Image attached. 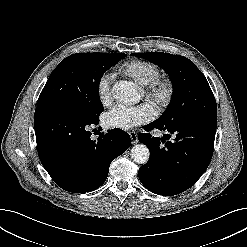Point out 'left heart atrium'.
<instances>
[{
	"label": "left heart atrium",
	"mask_w": 247,
	"mask_h": 247,
	"mask_svg": "<svg viewBox=\"0 0 247 247\" xmlns=\"http://www.w3.org/2000/svg\"><path fill=\"white\" fill-rule=\"evenodd\" d=\"M156 115V110L150 103L136 106L118 104L105 116L107 125L122 130H130L149 122Z\"/></svg>",
	"instance_id": "39dd6f15"
}]
</instances>
